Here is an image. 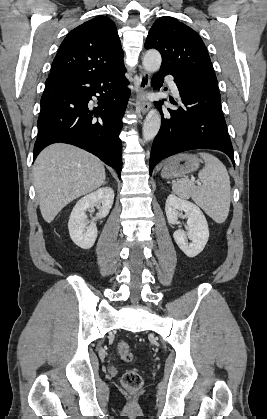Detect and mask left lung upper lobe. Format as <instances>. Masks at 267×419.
Returning a JSON list of instances; mask_svg holds the SVG:
<instances>
[{
	"mask_svg": "<svg viewBox=\"0 0 267 419\" xmlns=\"http://www.w3.org/2000/svg\"><path fill=\"white\" fill-rule=\"evenodd\" d=\"M145 48H155L161 53L160 70L217 84L207 48L201 37L175 18H158L148 33Z\"/></svg>",
	"mask_w": 267,
	"mask_h": 419,
	"instance_id": "left-lung-upper-lobe-1",
	"label": "left lung upper lobe"
}]
</instances>
